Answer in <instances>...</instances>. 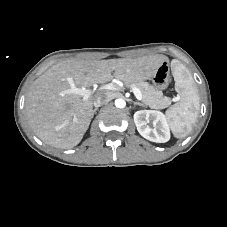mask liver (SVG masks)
<instances>
[{
	"instance_id": "liver-1",
	"label": "liver",
	"mask_w": 227,
	"mask_h": 227,
	"mask_svg": "<svg viewBox=\"0 0 227 227\" xmlns=\"http://www.w3.org/2000/svg\"><path fill=\"white\" fill-rule=\"evenodd\" d=\"M166 59L147 55L136 59H67L50 67L29 87L24 115L29 129L45 144L70 149L82 140L93 117V102L106 92L87 100L67 94L72 79L78 88L102 84L115 77L125 83L150 79ZM113 73V74H112Z\"/></svg>"
}]
</instances>
